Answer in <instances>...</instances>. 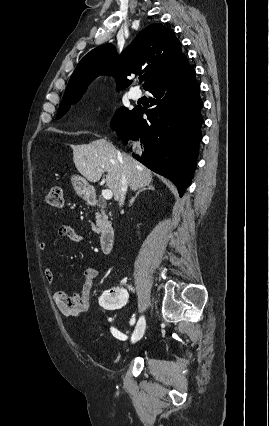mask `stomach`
I'll return each mask as SVG.
<instances>
[{
	"label": "stomach",
	"instance_id": "obj_1",
	"mask_svg": "<svg viewBox=\"0 0 269 426\" xmlns=\"http://www.w3.org/2000/svg\"><path fill=\"white\" fill-rule=\"evenodd\" d=\"M73 188L77 195L87 199L91 196L94 188L83 177L73 175L71 177Z\"/></svg>",
	"mask_w": 269,
	"mask_h": 426
}]
</instances>
